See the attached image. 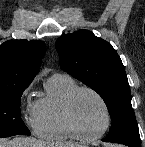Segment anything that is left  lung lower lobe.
I'll return each mask as SVG.
<instances>
[{"mask_svg":"<svg viewBox=\"0 0 145 147\" xmlns=\"http://www.w3.org/2000/svg\"><path fill=\"white\" fill-rule=\"evenodd\" d=\"M103 141H104V142H107V141H105V139H103ZM124 145H125V144H124ZM127 146H128V145H127ZM129 147H130V146H129Z\"/></svg>","mask_w":145,"mask_h":147,"instance_id":"0a47b994","label":"left lung lower lobe"}]
</instances>
